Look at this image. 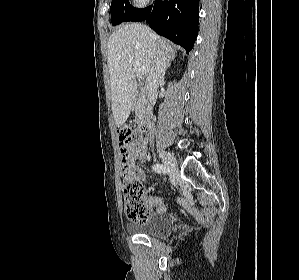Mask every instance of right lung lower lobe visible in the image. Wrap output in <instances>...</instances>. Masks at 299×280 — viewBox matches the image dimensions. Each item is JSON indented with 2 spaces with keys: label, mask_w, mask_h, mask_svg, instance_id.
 Segmentation results:
<instances>
[{
  "label": "right lung lower lobe",
  "mask_w": 299,
  "mask_h": 280,
  "mask_svg": "<svg viewBox=\"0 0 299 280\" xmlns=\"http://www.w3.org/2000/svg\"><path fill=\"white\" fill-rule=\"evenodd\" d=\"M199 0H156L154 8L137 9L126 21H146L149 26L186 49L193 48L198 33Z\"/></svg>",
  "instance_id": "obj_1"
}]
</instances>
